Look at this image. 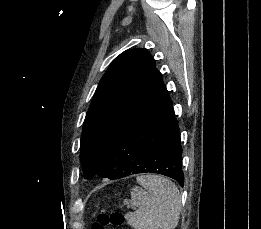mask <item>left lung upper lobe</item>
<instances>
[{
  "instance_id": "1",
  "label": "left lung upper lobe",
  "mask_w": 261,
  "mask_h": 229,
  "mask_svg": "<svg viewBox=\"0 0 261 229\" xmlns=\"http://www.w3.org/2000/svg\"><path fill=\"white\" fill-rule=\"evenodd\" d=\"M163 86L162 75L145 49L128 50L111 63L83 124L80 160L86 179L97 174L109 148Z\"/></svg>"
}]
</instances>
